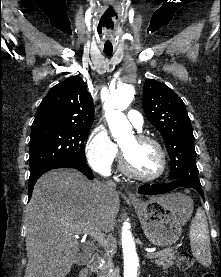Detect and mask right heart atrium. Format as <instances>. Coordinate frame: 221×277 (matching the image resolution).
Segmentation results:
<instances>
[{
	"label": "right heart atrium",
	"instance_id": "right-heart-atrium-1",
	"mask_svg": "<svg viewBox=\"0 0 221 277\" xmlns=\"http://www.w3.org/2000/svg\"><path fill=\"white\" fill-rule=\"evenodd\" d=\"M85 154L90 167L100 173L109 174L117 158L118 149L104 127H96L89 135Z\"/></svg>",
	"mask_w": 221,
	"mask_h": 277
}]
</instances>
